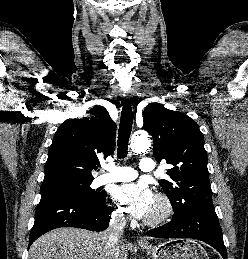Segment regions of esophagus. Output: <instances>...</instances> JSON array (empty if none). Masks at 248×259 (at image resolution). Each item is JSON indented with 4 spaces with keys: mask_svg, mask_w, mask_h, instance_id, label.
<instances>
[{
    "mask_svg": "<svg viewBox=\"0 0 248 259\" xmlns=\"http://www.w3.org/2000/svg\"><path fill=\"white\" fill-rule=\"evenodd\" d=\"M123 96H124V98H125L126 100L131 99V93H130V92L125 93ZM137 242H138L139 244H144V243H145V240H144L143 238H141V237H138V238H137Z\"/></svg>",
    "mask_w": 248,
    "mask_h": 259,
    "instance_id": "esophagus-1",
    "label": "esophagus"
}]
</instances>
